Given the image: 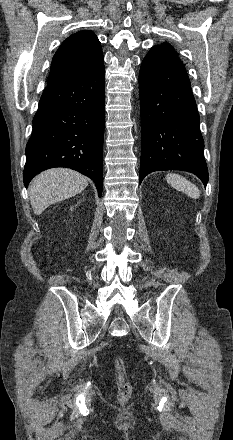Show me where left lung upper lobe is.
<instances>
[{
  "label": "left lung upper lobe",
  "mask_w": 233,
  "mask_h": 440,
  "mask_svg": "<svg viewBox=\"0 0 233 440\" xmlns=\"http://www.w3.org/2000/svg\"><path fill=\"white\" fill-rule=\"evenodd\" d=\"M150 52L164 53V54H168V55H172V56L178 57L177 53L175 52L173 47L170 44H167V43H164V44L159 45V46L152 47Z\"/></svg>",
  "instance_id": "1"
}]
</instances>
